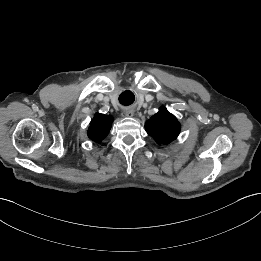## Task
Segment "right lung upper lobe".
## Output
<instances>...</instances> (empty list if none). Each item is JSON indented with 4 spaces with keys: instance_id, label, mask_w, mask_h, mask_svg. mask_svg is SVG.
I'll return each mask as SVG.
<instances>
[{
    "instance_id": "1",
    "label": "right lung upper lobe",
    "mask_w": 261,
    "mask_h": 261,
    "mask_svg": "<svg viewBox=\"0 0 261 261\" xmlns=\"http://www.w3.org/2000/svg\"><path fill=\"white\" fill-rule=\"evenodd\" d=\"M111 122L110 116L96 115L88 131L89 137L97 142L101 141L108 134Z\"/></svg>"
}]
</instances>
